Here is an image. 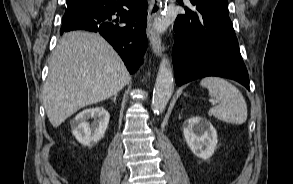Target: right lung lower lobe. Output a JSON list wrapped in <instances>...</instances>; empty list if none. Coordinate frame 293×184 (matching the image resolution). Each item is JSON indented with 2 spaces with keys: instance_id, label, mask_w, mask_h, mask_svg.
Wrapping results in <instances>:
<instances>
[{
  "instance_id": "right-lung-lower-lobe-1",
  "label": "right lung lower lobe",
  "mask_w": 293,
  "mask_h": 184,
  "mask_svg": "<svg viewBox=\"0 0 293 184\" xmlns=\"http://www.w3.org/2000/svg\"><path fill=\"white\" fill-rule=\"evenodd\" d=\"M146 20L147 0H90L65 11L61 34L77 29L99 32L133 74L147 47Z\"/></svg>"
}]
</instances>
